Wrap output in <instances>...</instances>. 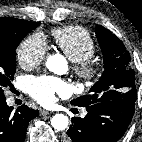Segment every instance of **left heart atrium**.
<instances>
[{
	"mask_svg": "<svg viewBox=\"0 0 142 142\" xmlns=\"http://www.w3.org/2000/svg\"><path fill=\"white\" fill-rule=\"evenodd\" d=\"M27 91L40 104L49 105L56 95H65L68 92V85L62 79L41 76L27 81Z\"/></svg>",
	"mask_w": 142,
	"mask_h": 142,
	"instance_id": "obj_1",
	"label": "left heart atrium"
}]
</instances>
